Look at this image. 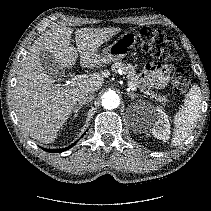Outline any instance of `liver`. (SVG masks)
<instances>
[{
  "mask_svg": "<svg viewBox=\"0 0 211 211\" xmlns=\"http://www.w3.org/2000/svg\"><path fill=\"white\" fill-rule=\"evenodd\" d=\"M73 29L53 27L39 36L22 62L13 91V105L23 130L33 139L52 143L57 138L77 102V95L103 86L104 77L94 73L76 85L60 86L45 71L40 52L49 51L62 68L76 64L78 52L83 67L95 68L105 64L98 48L112 38L119 28H81L75 31L77 49L71 45Z\"/></svg>",
  "mask_w": 211,
  "mask_h": 211,
  "instance_id": "6515ba94",
  "label": "liver"
}]
</instances>
